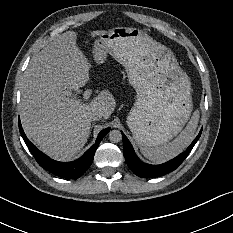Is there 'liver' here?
Wrapping results in <instances>:
<instances>
[{
  "instance_id": "liver-1",
  "label": "liver",
  "mask_w": 233,
  "mask_h": 233,
  "mask_svg": "<svg viewBox=\"0 0 233 233\" xmlns=\"http://www.w3.org/2000/svg\"><path fill=\"white\" fill-rule=\"evenodd\" d=\"M103 31H92L99 36ZM78 33L66 31L54 38L30 60L24 73L19 104L27 134L47 155L71 159L84 147L90 134V114L99 111L104 119L114 112L116 100L101 90L89 103L69 98L89 81L91 62L76 44Z\"/></svg>"
}]
</instances>
